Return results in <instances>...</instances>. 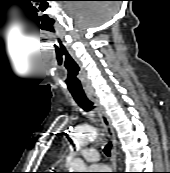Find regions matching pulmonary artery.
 Listing matches in <instances>:
<instances>
[{
  "label": "pulmonary artery",
  "mask_w": 170,
  "mask_h": 173,
  "mask_svg": "<svg viewBox=\"0 0 170 173\" xmlns=\"http://www.w3.org/2000/svg\"><path fill=\"white\" fill-rule=\"evenodd\" d=\"M79 155L87 162H96L99 160V154L94 148H86L79 152Z\"/></svg>",
  "instance_id": "1"
}]
</instances>
